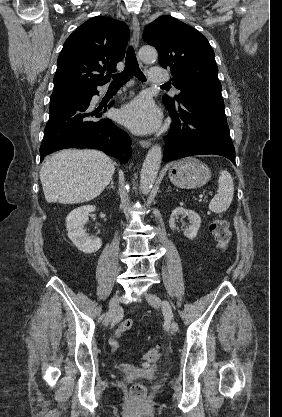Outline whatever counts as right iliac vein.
<instances>
[{
    "instance_id": "obj_1",
    "label": "right iliac vein",
    "mask_w": 282,
    "mask_h": 417,
    "mask_svg": "<svg viewBox=\"0 0 282 417\" xmlns=\"http://www.w3.org/2000/svg\"><path fill=\"white\" fill-rule=\"evenodd\" d=\"M119 301H120V298H119V296L117 294L114 295L111 298V300L109 302V310H108V313L106 314V316L104 318V321H103L104 326H108L109 323L111 322L113 316L115 315V313H116V311L118 309Z\"/></svg>"
}]
</instances>
